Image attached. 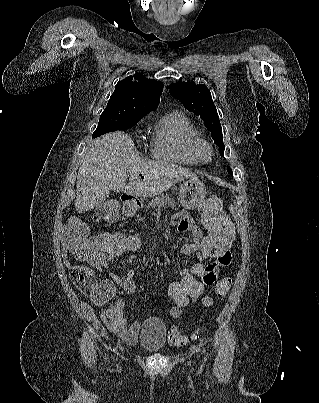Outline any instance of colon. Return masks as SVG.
Wrapping results in <instances>:
<instances>
[{
  "label": "colon",
  "mask_w": 319,
  "mask_h": 403,
  "mask_svg": "<svg viewBox=\"0 0 319 403\" xmlns=\"http://www.w3.org/2000/svg\"><path fill=\"white\" fill-rule=\"evenodd\" d=\"M222 204L220 197L211 196L201 205V219L207 231H205L203 242L200 243L198 258H195V264L190 268L189 275H180V282H165V291H172L170 295L172 313H180L181 309H190V300L205 296V286L202 283L203 272L218 261L221 252L236 242L233 220L225 217ZM102 206L104 210L97 215L96 220L106 225L113 224L116 220L115 208H120V203L104 201ZM140 245L138 234H123L122 229H97L96 234H89L87 237L85 223L77 217H73L63 229V246L69 249L79 261L96 259L99 256L100 258H125L126 254H140ZM70 277L80 292L90 296L92 285H96L97 280L92 271L73 270ZM231 283L229 277L220 279L215 286L216 297H225ZM195 337L196 334L187 336L174 326L168 340L172 346L179 347Z\"/></svg>",
  "instance_id": "colon-1"
}]
</instances>
